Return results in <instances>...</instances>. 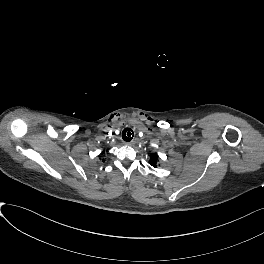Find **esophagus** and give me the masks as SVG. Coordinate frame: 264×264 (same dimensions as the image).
<instances>
[{"label":"esophagus","mask_w":264,"mask_h":264,"mask_svg":"<svg viewBox=\"0 0 264 264\" xmlns=\"http://www.w3.org/2000/svg\"><path fill=\"white\" fill-rule=\"evenodd\" d=\"M126 145H132V142H125Z\"/></svg>","instance_id":"34e87169"}]
</instances>
